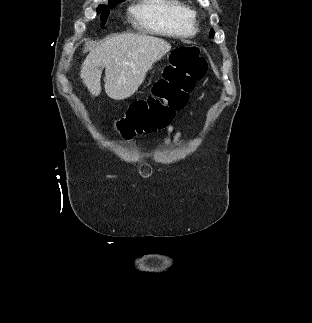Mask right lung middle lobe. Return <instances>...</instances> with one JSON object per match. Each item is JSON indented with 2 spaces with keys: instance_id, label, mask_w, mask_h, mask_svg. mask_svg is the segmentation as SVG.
Returning a JSON list of instances; mask_svg holds the SVG:
<instances>
[{
  "instance_id": "1",
  "label": "right lung middle lobe",
  "mask_w": 312,
  "mask_h": 323,
  "mask_svg": "<svg viewBox=\"0 0 312 323\" xmlns=\"http://www.w3.org/2000/svg\"><path fill=\"white\" fill-rule=\"evenodd\" d=\"M124 1V0H122ZM114 4L113 3H110L109 5H101L99 6L97 12H100V11H103L102 15H101V22H102V25L105 24L106 20H107V17H108V14H109V9L113 6Z\"/></svg>"
}]
</instances>
